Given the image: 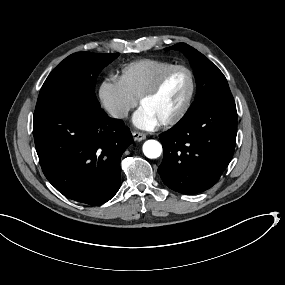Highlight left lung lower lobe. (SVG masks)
<instances>
[{"label":"left lung lower lobe","mask_w":285,"mask_h":285,"mask_svg":"<svg viewBox=\"0 0 285 285\" xmlns=\"http://www.w3.org/2000/svg\"><path fill=\"white\" fill-rule=\"evenodd\" d=\"M235 102H211L187 112L160 134L164 157L158 167L165 185L182 194L211 188L230 163L236 144Z\"/></svg>","instance_id":"left-lung-lower-lobe-1"}]
</instances>
